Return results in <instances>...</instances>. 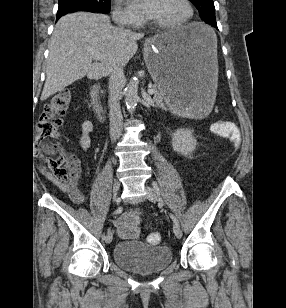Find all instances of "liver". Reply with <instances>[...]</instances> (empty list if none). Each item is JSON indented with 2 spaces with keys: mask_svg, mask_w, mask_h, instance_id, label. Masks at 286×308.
<instances>
[{
  "mask_svg": "<svg viewBox=\"0 0 286 308\" xmlns=\"http://www.w3.org/2000/svg\"><path fill=\"white\" fill-rule=\"evenodd\" d=\"M143 33L116 28L103 14L77 12L61 17L49 43L46 80L41 94L44 101L76 80H98L125 66L138 49ZM91 50L100 52L101 63H92Z\"/></svg>",
  "mask_w": 286,
  "mask_h": 308,
  "instance_id": "liver-1",
  "label": "liver"
}]
</instances>
